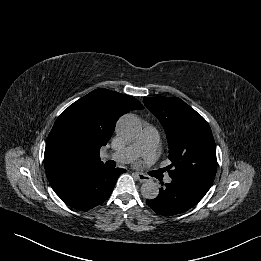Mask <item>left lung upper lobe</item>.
Returning a JSON list of instances; mask_svg holds the SVG:
<instances>
[{
    "mask_svg": "<svg viewBox=\"0 0 261 261\" xmlns=\"http://www.w3.org/2000/svg\"><path fill=\"white\" fill-rule=\"evenodd\" d=\"M145 106L162 124L169 146V176H190L213 183L216 145L206 120L180 98L146 97Z\"/></svg>",
    "mask_w": 261,
    "mask_h": 261,
    "instance_id": "left-lung-upper-lobe-1",
    "label": "left lung upper lobe"
}]
</instances>
